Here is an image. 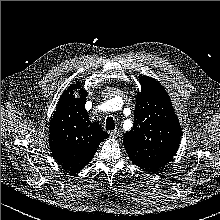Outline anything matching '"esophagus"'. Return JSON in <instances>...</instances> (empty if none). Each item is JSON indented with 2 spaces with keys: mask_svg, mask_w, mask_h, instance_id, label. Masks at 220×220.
Wrapping results in <instances>:
<instances>
[{
  "mask_svg": "<svg viewBox=\"0 0 220 220\" xmlns=\"http://www.w3.org/2000/svg\"><path fill=\"white\" fill-rule=\"evenodd\" d=\"M120 134V131L119 129H115V130H112V131H109V135L112 137V138H117Z\"/></svg>",
  "mask_w": 220,
  "mask_h": 220,
  "instance_id": "obj_1",
  "label": "esophagus"
}]
</instances>
